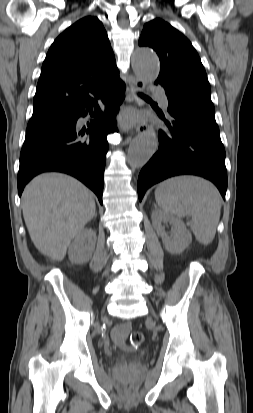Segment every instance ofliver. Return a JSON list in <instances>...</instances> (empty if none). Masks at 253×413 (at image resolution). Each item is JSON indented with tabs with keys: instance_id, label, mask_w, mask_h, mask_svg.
<instances>
[{
	"instance_id": "obj_1",
	"label": "liver",
	"mask_w": 253,
	"mask_h": 413,
	"mask_svg": "<svg viewBox=\"0 0 253 413\" xmlns=\"http://www.w3.org/2000/svg\"><path fill=\"white\" fill-rule=\"evenodd\" d=\"M94 194L75 178L60 173L35 177L22 195L23 217L35 247L62 261L71 241L95 215Z\"/></svg>"
}]
</instances>
